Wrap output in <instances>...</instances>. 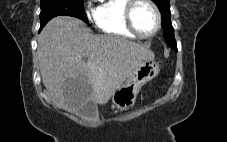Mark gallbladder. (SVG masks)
Instances as JSON below:
<instances>
[{
  "label": "gallbladder",
  "instance_id": "obj_1",
  "mask_svg": "<svg viewBox=\"0 0 227 142\" xmlns=\"http://www.w3.org/2000/svg\"><path fill=\"white\" fill-rule=\"evenodd\" d=\"M79 114H80V116L87 118V119L96 118L97 114H98L97 104L94 102L86 103L82 108H80Z\"/></svg>",
  "mask_w": 227,
  "mask_h": 142
}]
</instances>
